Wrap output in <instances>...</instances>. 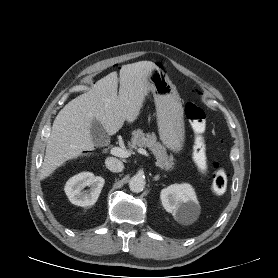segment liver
<instances>
[{
	"instance_id": "liver-1",
	"label": "liver",
	"mask_w": 278,
	"mask_h": 278,
	"mask_svg": "<svg viewBox=\"0 0 278 278\" xmlns=\"http://www.w3.org/2000/svg\"><path fill=\"white\" fill-rule=\"evenodd\" d=\"M152 67L156 65L147 61L124 65L119 73L118 95L117 72H111L60 110L47 141L41 179L50 176L66 161L89 155L83 151L94 150L93 119L102 124L108 135H114L124 121L133 123L138 118L148 94L146 73Z\"/></svg>"
}]
</instances>
